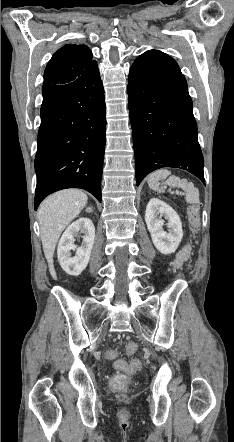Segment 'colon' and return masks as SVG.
Listing matches in <instances>:
<instances>
[{
    "label": "colon",
    "instance_id": "1",
    "mask_svg": "<svg viewBox=\"0 0 234 442\" xmlns=\"http://www.w3.org/2000/svg\"><path fill=\"white\" fill-rule=\"evenodd\" d=\"M188 217L191 225L194 228H199L200 226V215H199V205L194 204L188 209ZM184 268L189 269L192 266L191 261L186 260L183 263ZM127 354H133L137 350V346L135 343L129 342L125 346ZM106 358L114 361V368L118 371H122L125 373H134L141 368V359L138 356L131 357L130 361H125L119 359L118 356L120 352L116 348H105L103 350ZM130 385V378L124 374L117 375L113 378V380L109 381L110 389H127Z\"/></svg>",
    "mask_w": 234,
    "mask_h": 442
}]
</instances>
